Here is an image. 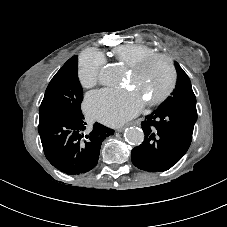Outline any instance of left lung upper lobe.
<instances>
[{
    "instance_id": "5c2ea615",
    "label": "left lung upper lobe",
    "mask_w": 227,
    "mask_h": 227,
    "mask_svg": "<svg viewBox=\"0 0 227 227\" xmlns=\"http://www.w3.org/2000/svg\"><path fill=\"white\" fill-rule=\"evenodd\" d=\"M175 67L177 70L176 87L171 96H169L158 108L181 106L196 109V97L192 90L190 79L177 62H175Z\"/></svg>"
}]
</instances>
